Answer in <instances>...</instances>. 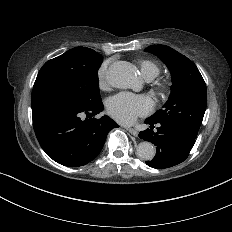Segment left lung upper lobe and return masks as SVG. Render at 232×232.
<instances>
[{
    "instance_id": "1",
    "label": "left lung upper lobe",
    "mask_w": 232,
    "mask_h": 232,
    "mask_svg": "<svg viewBox=\"0 0 232 232\" xmlns=\"http://www.w3.org/2000/svg\"><path fill=\"white\" fill-rule=\"evenodd\" d=\"M145 51L167 65L173 83L167 102L149 119L178 125L197 136L207 106L206 84L198 68L186 56L165 45H151Z\"/></svg>"
}]
</instances>
